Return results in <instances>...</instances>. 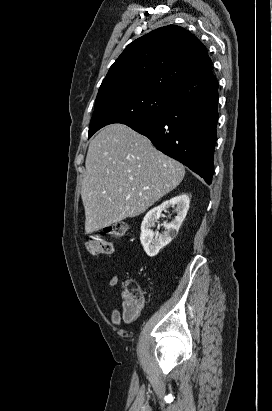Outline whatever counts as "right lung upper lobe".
<instances>
[{"mask_svg":"<svg viewBox=\"0 0 272 411\" xmlns=\"http://www.w3.org/2000/svg\"><path fill=\"white\" fill-rule=\"evenodd\" d=\"M132 88L164 92L180 103L216 90L218 83L200 40L169 25L130 43L110 67L98 94Z\"/></svg>","mask_w":272,"mask_h":411,"instance_id":"right-lung-upper-lobe-1","label":"right lung upper lobe"}]
</instances>
